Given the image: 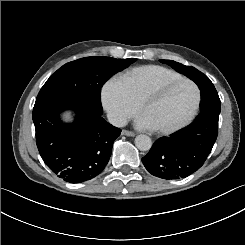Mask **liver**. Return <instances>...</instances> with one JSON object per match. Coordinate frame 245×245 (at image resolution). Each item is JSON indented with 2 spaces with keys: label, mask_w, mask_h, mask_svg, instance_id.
<instances>
[{
  "label": "liver",
  "mask_w": 245,
  "mask_h": 245,
  "mask_svg": "<svg viewBox=\"0 0 245 245\" xmlns=\"http://www.w3.org/2000/svg\"><path fill=\"white\" fill-rule=\"evenodd\" d=\"M63 119L66 120V121L71 120L70 113H69V112L65 113V114L63 115Z\"/></svg>",
  "instance_id": "liver-1"
}]
</instances>
